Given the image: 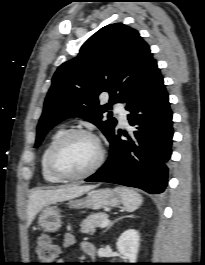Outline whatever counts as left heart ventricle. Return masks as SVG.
I'll list each match as a JSON object with an SVG mask.
<instances>
[{"instance_id":"left-heart-ventricle-1","label":"left heart ventricle","mask_w":205,"mask_h":265,"mask_svg":"<svg viewBox=\"0 0 205 265\" xmlns=\"http://www.w3.org/2000/svg\"><path fill=\"white\" fill-rule=\"evenodd\" d=\"M99 154L96 142L87 136H75L65 142L54 157V164L63 173L75 175L88 170Z\"/></svg>"}]
</instances>
